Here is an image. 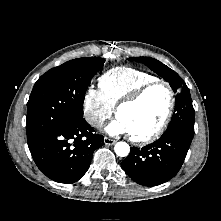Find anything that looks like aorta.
Segmentation results:
<instances>
[{
    "label": "aorta",
    "mask_w": 221,
    "mask_h": 221,
    "mask_svg": "<svg viewBox=\"0 0 221 221\" xmlns=\"http://www.w3.org/2000/svg\"><path fill=\"white\" fill-rule=\"evenodd\" d=\"M115 153L120 157H125L130 152V147L126 142H117L114 147Z\"/></svg>",
    "instance_id": "aorta-1"
}]
</instances>
